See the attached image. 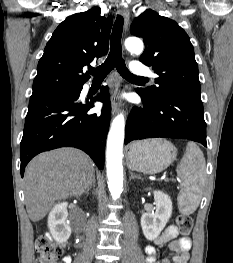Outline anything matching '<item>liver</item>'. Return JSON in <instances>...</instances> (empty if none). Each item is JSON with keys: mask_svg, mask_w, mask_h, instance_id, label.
I'll return each mask as SVG.
<instances>
[{"mask_svg": "<svg viewBox=\"0 0 233 263\" xmlns=\"http://www.w3.org/2000/svg\"><path fill=\"white\" fill-rule=\"evenodd\" d=\"M94 165L84 152L60 148L39 154L24 174L25 204L33 222L43 219L55 202L82 195L92 183Z\"/></svg>", "mask_w": 233, "mask_h": 263, "instance_id": "6515ba94", "label": "liver"}]
</instances>
